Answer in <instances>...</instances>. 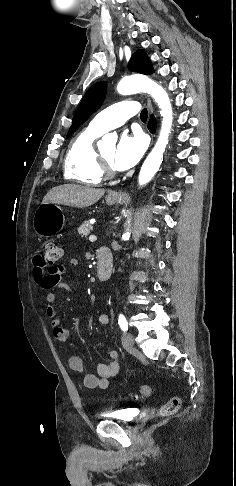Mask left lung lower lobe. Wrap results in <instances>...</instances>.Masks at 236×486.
Here are the masks:
<instances>
[{
    "label": "left lung lower lobe",
    "mask_w": 236,
    "mask_h": 486,
    "mask_svg": "<svg viewBox=\"0 0 236 486\" xmlns=\"http://www.w3.org/2000/svg\"><path fill=\"white\" fill-rule=\"evenodd\" d=\"M155 127H156V122H155L154 116L152 115L151 119L149 121V124H148V128H149L150 131H154Z\"/></svg>",
    "instance_id": "obj_1"
}]
</instances>
